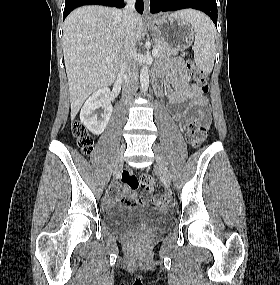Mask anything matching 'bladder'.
I'll return each instance as SVG.
<instances>
[{"instance_id":"bladder-1","label":"bladder","mask_w":280,"mask_h":285,"mask_svg":"<svg viewBox=\"0 0 280 285\" xmlns=\"http://www.w3.org/2000/svg\"><path fill=\"white\" fill-rule=\"evenodd\" d=\"M104 225L117 233H135L147 227L159 232L168 227L171 217L164 211L155 208L116 209L102 215Z\"/></svg>"}]
</instances>
